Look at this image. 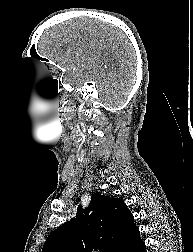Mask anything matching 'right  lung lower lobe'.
Instances as JSON below:
<instances>
[{
	"label": "right lung lower lobe",
	"mask_w": 193,
	"mask_h": 252,
	"mask_svg": "<svg viewBox=\"0 0 193 252\" xmlns=\"http://www.w3.org/2000/svg\"><path fill=\"white\" fill-rule=\"evenodd\" d=\"M118 252H146V246L139 236V230L133 234Z\"/></svg>",
	"instance_id": "obj_1"
}]
</instances>
